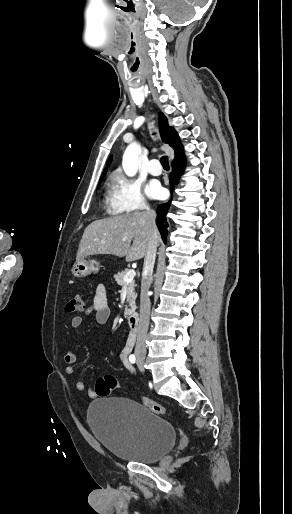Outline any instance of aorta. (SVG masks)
I'll list each match as a JSON object with an SVG mask.
<instances>
[{
  "instance_id": "762f6f07",
  "label": "aorta",
  "mask_w": 292,
  "mask_h": 514,
  "mask_svg": "<svg viewBox=\"0 0 292 514\" xmlns=\"http://www.w3.org/2000/svg\"><path fill=\"white\" fill-rule=\"evenodd\" d=\"M139 146L136 144H131L128 146L122 162V168L127 174V176H135L138 166H137V154H138Z\"/></svg>"
}]
</instances>
